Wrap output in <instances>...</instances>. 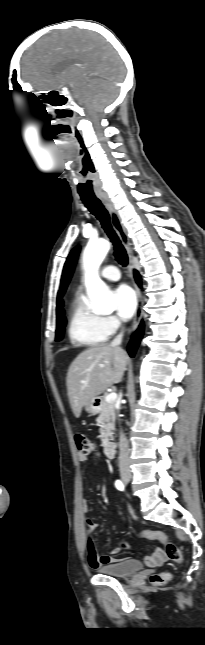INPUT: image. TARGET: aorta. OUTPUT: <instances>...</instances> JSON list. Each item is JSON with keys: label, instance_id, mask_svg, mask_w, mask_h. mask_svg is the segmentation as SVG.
Here are the masks:
<instances>
[{"label": "aorta", "instance_id": "obj_1", "mask_svg": "<svg viewBox=\"0 0 205 645\" xmlns=\"http://www.w3.org/2000/svg\"><path fill=\"white\" fill-rule=\"evenodd\" d=\"M110 248L106 240L91 241L85 248L83 263L86 271L85 284L95 312L113 311L114 302L106 285L98 276V269Z\"/></svg>", "mask_w": 205, "mask_h": 645}]
</instances>
